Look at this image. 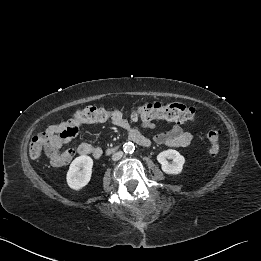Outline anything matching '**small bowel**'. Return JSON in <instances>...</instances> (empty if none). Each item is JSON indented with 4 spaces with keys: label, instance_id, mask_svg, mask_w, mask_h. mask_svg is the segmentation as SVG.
<instances>
[{
    "label": "small bowel",
    "instance_id": "small-bowel-1",
    "mask_svg": "<svg viewBox=\"0 0 261 261\" xmlns=\"http://www.w3.org/2000/svg\"><path fill=\"white\" fill-rule=\"evenodd\" d=\"M111 123L125 130L128 135L139 133V131L125 118L120 117L117 120L111 121ZM75 125H77V122L74 118H72L67 122L52 124L46 129L45 133L49 135V142L45 148V153L53 166H63L73 158L75 153L74 150H61L64 143L60 141L59 136L64 130ZM143 127L154 128L155 124L152 122H146L143 123ZM192 140V134L188 132L179 122H176L170 130L161 132L153 137V142L155 144H163L175 148L186 147L190 145ZM101 152L102 150L100 147L93 146L89 143H81L77 148V153L80 155H92L94 157H99Z\"/></svg>",
    "mask_w": 261,
    "mask_h": 261
}]
</instances>
